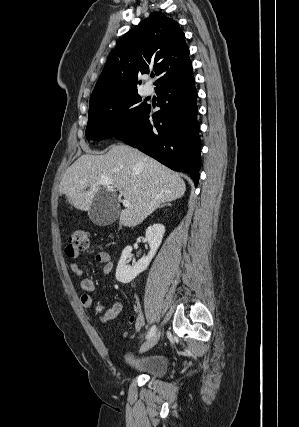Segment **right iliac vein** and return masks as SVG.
<instances>
[{
	"label": "right iliac vein",
	"mask_w": 299,
	"mask_h": 427,
	"mask_svg": "<svg viewBox=\"0 0 299 427\" xmlns=\"http://www.w3.org/2000/svg\"><path fill=\"white\" fill-rule=\"evenodd\" d=\"M160 338V331L154 333L146 342L142 344L140 347V353L147 352L150 350L159 340Z\"/></svg>",
	"instance_id": "obj_1"
}]
</instances>
